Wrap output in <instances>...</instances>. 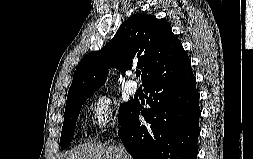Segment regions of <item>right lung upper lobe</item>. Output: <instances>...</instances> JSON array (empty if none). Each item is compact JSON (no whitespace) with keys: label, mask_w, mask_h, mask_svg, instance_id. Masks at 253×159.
<instances>
[{"label":"right lung upper lobe","mask_w":253,"mask_h":159,"mask_svg":"<svg viewBox=\"0 0 253 159\" xmlns=\"http://www.w3.org/2000/svg\"><path fill=\"white\" fill-rule=\"evenodd\" d=\"M191 64L181 42L164 19L137 13L124 21L101 50L88 53L77 66L66 104L92 95L106 81L108 69L125 72L137 65L146 84L170 77Z\"/></svg>","instance_id":"right-lung-upper-lobe-1"}]
</instances>
